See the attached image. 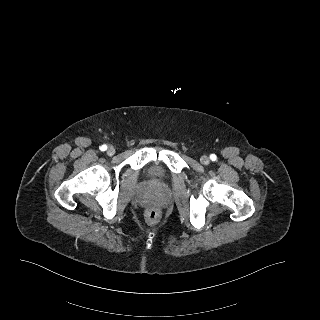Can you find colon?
<instances>
[{"instance_id":"colon-1","label":"colon","mask_w":320,"mask_h":320,"mask_svg":"<svg viewBox=\"0 0 320 320\" xmlns=\"http://www.w3.org/2000/svg\"><path fill=\"white\" fill-rule=\"evenodd\" d=\"M145 217L148 223H156L160 218V211L156 208H150L146 211Z\"/></svg>"}]
</instances>
